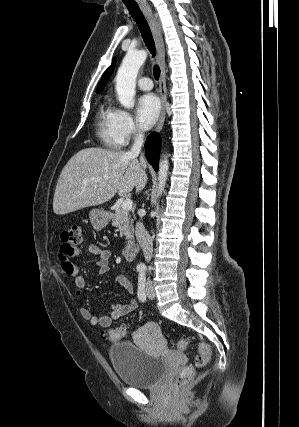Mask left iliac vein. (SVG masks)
<instances>
[{"instance_id": "4c4485c4", "label": "left iliac vein", "mask_w": 299, "mask_h": 427, "mask_svg": "<svg viewBox=\"0 0 299 427\" xmlns=\"http://www.w3.org/2000/svg\"><path fill=\"white\" fill-rule=\"evenodd\" d=\"M146 295L151 300L155 298V291L153 289V284L151 281H147L146 283Z\"/></svg>"}]
</instances>
